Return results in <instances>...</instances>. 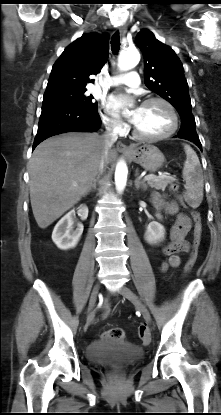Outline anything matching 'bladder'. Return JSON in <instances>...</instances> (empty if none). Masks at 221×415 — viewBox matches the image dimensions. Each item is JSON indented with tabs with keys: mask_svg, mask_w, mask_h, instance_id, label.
I'll list each match as a JSON object with an SVG mask.
<instances>
[{
	"mask_svg": "<svg viewBox=\"0 0 221 415\" xmlns=\"http://www.w3.org/2000/svg\"><path fill=\"white\" fill-rule=\"evenodd\" d=\"M143 349L126 341L101 339L92 342L86 351L88 360L98 365L133 364L142 359Z\"/></svg>",
	"mask_w": 221,
	"mask_h": 415,
	"instance_id": "bladder-1",
	"label": "bladder"
}]
</instances>
